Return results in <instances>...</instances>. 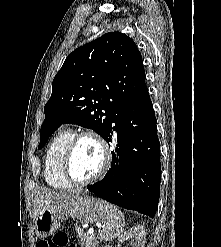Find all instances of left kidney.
<instances>
[{"mask_svg":"<svg viewBox=\"0 0 221 247\" xmlns=\"http://www.w3.org/2000/svg\"><path fill=\"white\" fill-rule=\"evenodd\" d=\"M134 239L133 247H144L146 240V230L144 226H136L124 232L118 237V243H124L127 239Z\"/></svg>","mask_w":221,"mask_h":247,"instance_id":"obj_1","label":"left kidney"}]
</instances>
